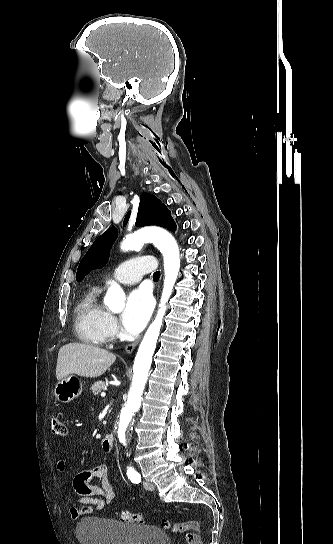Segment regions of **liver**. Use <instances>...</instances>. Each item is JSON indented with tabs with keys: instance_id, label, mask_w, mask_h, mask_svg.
Masks as SVG:
<instances>
[{
	"instance_id": "obj_1",
	"label": "liver",
	"mask_w": 333,
	"mask_h": 544,
	"mask_svg": "<svg viewBox=\"0 0 333 544\" xmlns=\"http://www.w3.org/2000/svg\"><path fill=\"white\" fill-rule=\"evenodd\" d=\"M115 360L116 356L105 349L84 343H68L58 352L56 378L60 380L69 374L99 377Z\"/></svg>"
}]
</instances>
